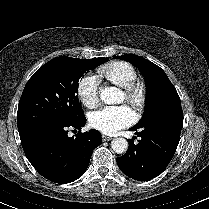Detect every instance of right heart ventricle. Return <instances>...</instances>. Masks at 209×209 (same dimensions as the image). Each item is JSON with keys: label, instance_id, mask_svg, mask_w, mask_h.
Returning a JSON list of instances; mask_svg holds the SVG:
<instances>
[{"label": "right heart ventricle", "instance_id": "1", "mask_svg": "<svg viewBox=\"0 0 209 209\" xmlns=\"http://www.w3.org/2000/svg\"><path fill=\"white\" fill-rule=\"evenodd\" d=\"M100 74L122 88L130 86L137 78L134 67L127 62H114L101 69Z\"/></svg>", "mask_w": 209, "mask_h": 209}]
</instances>
